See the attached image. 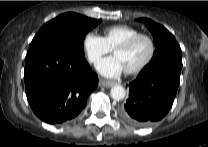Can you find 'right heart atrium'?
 Here are the masks:
<instances>
[{
    "label": "right heart atrium",
    "mask_w": 208,
    "mask_h": 147,
    "mask_svg": "<svg viewBox=\"0 0 208 147\" xmlns=\"http://www.w3.org/2000/svg\"><path fill=\"white\" fill-rule=\"evenodd\" d=\"M83 47L88 61L91 64H96L104 55L111 51L105 39L93 32H89L85 35Z\"/></svg>",
    "instance_id": "obj_1"
}]
</instances>
